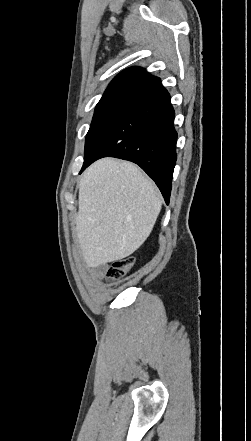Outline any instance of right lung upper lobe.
Masks as SVG:
<instances>
[{"mask_svg":"<svg viewBox=\"0 0 251 441\" xmlns=\"http://www.w3.org/2000/svg\"><path fill=\"white\" fill-rule=\"evenodd\" d=\"M159 84L158 77L148 74L141 67H131L119 73L111 81L100 101L129 100L135 102Z\"/></svg>","mask_w":251,"mask_h":441,"instance_id":"right-lung-upper-lobe-1","label":"right lung upper lobe"}]
</instances>
